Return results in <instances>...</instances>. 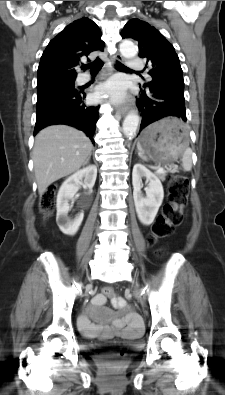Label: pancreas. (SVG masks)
I'll use <instances>...</instances> for the list:
<instances>
[{
  "label": "pancreas",
  "instance_id": "obj_1",
  "mask_svg": "<svg viewBox=\"0 0 225 395\" xmlns=\"http://www.w3.org/2000/svg\"><path fill=\"white\" fill-rule=\"evenodd\" d=\"M165 176H166V172H161V173H158V177L161 179V180H165Z\"/></svg>",
  "mask_w": 225,
  "mask_h": 395
}]
</instances>
